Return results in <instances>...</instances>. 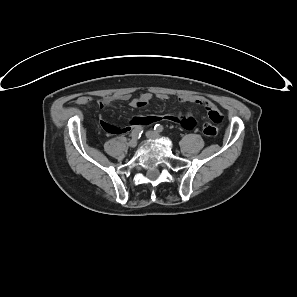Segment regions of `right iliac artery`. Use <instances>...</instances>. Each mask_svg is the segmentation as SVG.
<instances>
[{
	"mask_svg": "<svg viewBox=\"0 0 297 297\" xmlns=\"http://www.w3.org/2000/svg\"><path fill=\"white\" fill-rule=\"evenodd\" d=\"M141 133H142V128H141V127H137L136 129H134V130L132 131L131 135H132L133 137H135V136H137V135L140 136Z\"/></svg>",
	"mask_w": 297,
	"mask_h": 297,
	"instance_id": "1",
	"label": "right iliac artery"
}]
</instances>
